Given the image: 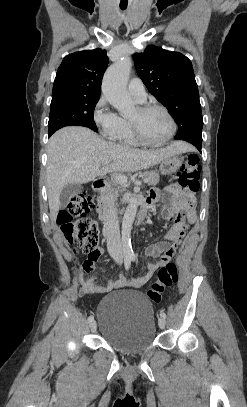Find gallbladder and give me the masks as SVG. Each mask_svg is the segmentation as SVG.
Masks as SVG:
<instances>
[{"instance_id":"obj_1","label":"gallbladder","mask_w":247,"mask_h":407,"mask_svg":"<svg viewBox=\"0 0 247 407\" xmlns=\"http://www.w3.org/2000/svg\"><path fill=\"white\" fill-rule=\"evenodd\" d=\"M82 190V186L79 184H69L63 188L60 194V208H65L71 197L78 194Z\"/></svg>"}]
</instances>
